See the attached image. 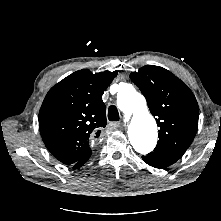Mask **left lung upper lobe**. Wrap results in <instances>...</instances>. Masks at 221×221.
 <instances>
[{"mask_svg": "<svg viewBox=\"0 0 221 221\" xmlns=\"http://www.w3.org/2000/svg\"><path fill=\"white\" fill-rule=\"evenodd\" d=\"M156 117L159 141L154 151L182 157L198 128L199 107L192 91L170 71L147 65L130 74Z\"/></svg>", "mask_w": 221, "mask_h": 221, "instance_id": "1", "label": "left lung upper lobe"}]
</instances>
